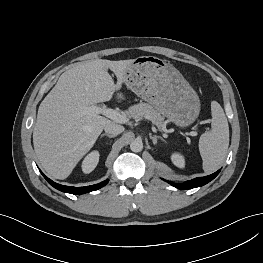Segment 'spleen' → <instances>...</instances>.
<instances>
[{"label": "spleen", "instance_id": "obj_1", "mask_svg": "<svg viewBox=\"0 0 263 263\" xmlns=\"http://www.w3.org/2000/svg\"><path fill=\"white\" fill-rule=\"evenodd\" d=\"M211 131L201 135L199 151L203 160V170L210 174L223 163L229 146V126L225 113L216 101L211 102Z\"/></svg>", "mask_w": 263, "mask_h": 263}]
</instances>
